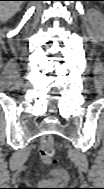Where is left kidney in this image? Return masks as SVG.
Instances as JSON below:
<instances>
[{
  "instance_id": "5707ae66",
  "label": "left kidney",
  "mask_w": 104,
  "mask_h": 189,
  "mask_svg": "<svg viewBox=\"0 0 104 189\" xmlns=\"http://www.w3.org/2000/svg\"><path fill=\"white\" fill-rule=\"evenodd\" d=\"M92 16L96 17V18H98V19H100L102 21V15L100 13L94 12V13H92Z\"/></svg>"
}]
</instances>
